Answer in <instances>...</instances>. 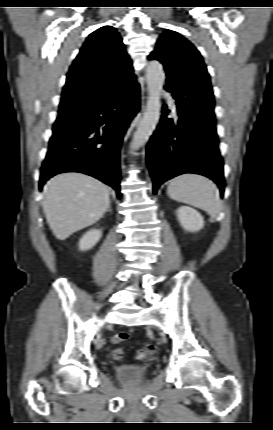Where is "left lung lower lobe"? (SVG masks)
Returning <instances> with one entry per match:
<instances>
[{"label": "left lung lower lobe", "mask_w": 273, "mask_h": 430, "mask_svg": "<svg viewBox=\"0 0 273 430\" xmlns=\"http://www.w3.org/2000/svg\"><path fill=\"white\" fill-rule=\"evenodd\" d=\"M177 103V102H176ZM178 119L163 114L147 146L146 159L153 179V193L159 186L184 173L204 175L224 193L223 160L218 148L215 120L196 116L177 103Z\"/></svg>", "instance_id": "0a47b994"}]
</instances>
